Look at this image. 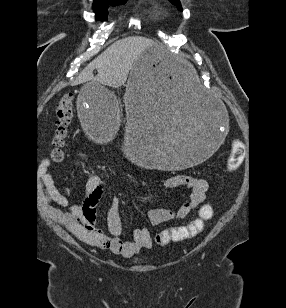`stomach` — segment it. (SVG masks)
<instances>
[{
    "instance_id": "obj_1",
    "label": "stomach",
    "mask_w": 286,
    "mask_h": 308,
    "mask_svg": "<svg viewBox=\"0 0 286 308\" xmlns=\"http://www.w3.org/2000/svg\"><path fill=\"white\" fill-rule=\"evenodd\" d=\"M182 51L150 47L134 62L124 102L134 136L125 159H137L148 173H179L205 164L210 153L227 144L224 100L202 86ZM78 124L108 149L110 133H126L124 110L110 85L90 82L75 97Z\"/></svg>"
}]
</instances>
